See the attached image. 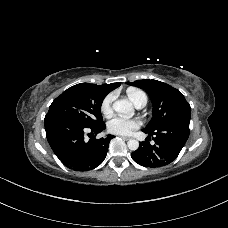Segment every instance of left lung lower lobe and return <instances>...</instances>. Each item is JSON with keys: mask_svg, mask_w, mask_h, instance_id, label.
<instances>
[{"mask_svg": "<svg viewBox=\"0 0 228 228\" xmlns=\"http://www.w3.org/2000/svg\"><path fill=\"white\" fill-rule=\"evenodd\" d=\"M190 120L183 119L162 126L156 131L143 132L148 133V139H152L155 144H150L146 139L139 148L131 153L132 159L141 166L157 168L170 164L179 155L189 137Z\"/></svg>", "mask_w": 228, "mask_h": 228, "instance_id": "0a47b994", "label": "left lung lower lobe"}]
</instances>
